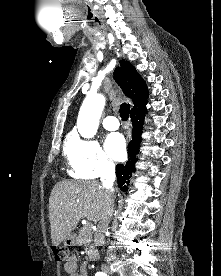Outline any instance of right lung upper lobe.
Here are the masks:
<instances>
[{
  "label": "right lung upper lobe",
  "mask_w": 221,
  "mask_h": 276,
  "mask_svg": "<svg viewBox=\"0 0 221 276\" xmlns=\"http://www.w3.org/2000/svg\"><path fill=\"white\" fill-rule=\"evenodd\" d=\"M114 76L124 94L133 101L131 112L144 108L148 98L147 87L136 69L128 61L121 60Z\"/></svg>",
  "instance_id": "cb5924a9"
}]
</instances>
